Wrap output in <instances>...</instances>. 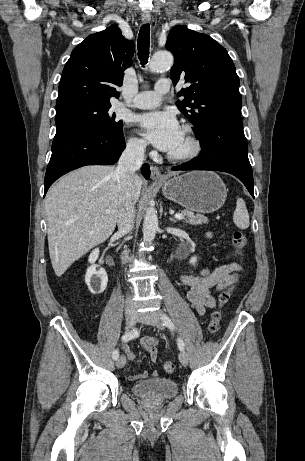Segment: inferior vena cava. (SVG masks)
Returning a JSON list of instances; mask_svg holds the SVG:
<instances>
[{
	"instance_id": "obj_1",
	"label": "inferior vena cava",
	"mask_w": 305,
	"mask_h": 461,
	"mask_svg": "<svg viewBox=\"0 0 305 461\" xmlns=\"http://www.w3.org/2000/svg\"><path fill=\"white\" fill-rule=\"evenodd\" d=\"M145 148L144 143L127 144L115 170L120 190L117 225L119 232L123 234L129 233L134 226L135 198L132 194V185L135 172L143 164ZM126 303L128 306L133 305L130 296L127 297Z\"/></svg>"
}]
</instances>
